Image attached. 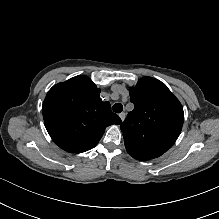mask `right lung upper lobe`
I'll list each match as a JSON object with an SVG mask.
<instances>
[{"label": "right lung upper lobe", "mask_w": 219, "mask_h": 219, "mask_svg": "<svg viewBox=\"0 0 219 219\" xmlns=\"http://www.w3.org/2000/svg\"><path fill=\"white\" fill-rule=\"evenodd\" d=\"M100 89L84 75L54 85L46 95L42 112L46 129L52 140L67 152L79 153L93 148L105 128L121 124L103 102Z\"/></svg>", "instance_id": "obj_1"}]
</instances>
